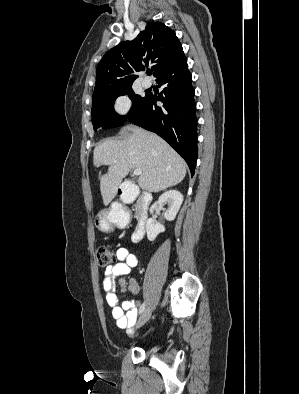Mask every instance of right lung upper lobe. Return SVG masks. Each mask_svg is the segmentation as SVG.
Returning <instances> with one entry per match:
<instances>
[{
	"label": "right lung upper lobe",
	"instance_id": "right-lung-upper-lobe-1",
	"mask_svg": "<svg viewBox=\"0 0 299 394\" xmlns=\"http://www.w3.org/2000/svg\"><path fill=\"white\" fill-rule=\"evenodd\" d=\"M184 55L176 34L160 22H150L132 41L108 51L98 64L94 93L132 85L137 71L151 65L156 77Z\"/></svg>",
	"mask_w": 299,
	"mask_h": 394
}]
</instances>
